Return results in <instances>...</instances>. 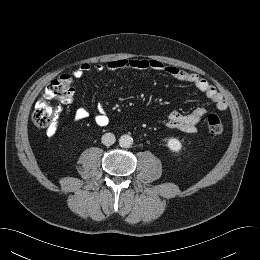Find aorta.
I'll list each match as a JSON object with an SVG mask.
<instances>
[{"label": "aorta", "mask_w": 260, "mask_h": 260, "mask_svg": "<svg viewBox=\"0 0 260 260\" xmlns=\"http://www.w3.org/2000/svg\"><path fill=\"white\" fill-rule=\"evenodd\" d=\"M119 144L123 148H129L133 144V138L130 135L124 134L119 138Z\"/></svg>", "instance_id": "762f6f07"}]
</instances>
